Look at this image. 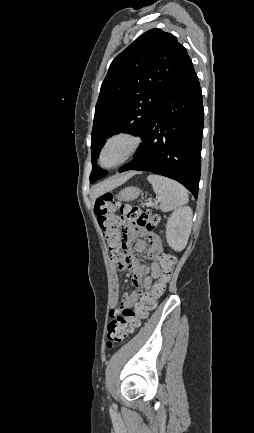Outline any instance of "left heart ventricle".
<instances>
[{"instance_id":"b2bd125f","label":"left heart ventricle","mask_w":254,"mask_h":433,"mask_svg":"<svg viewBox=\"0 0 254 433\" xmlns=\"http://www.w3.org/2000/svg\"><path fill=\"white\" fill-rule=\"evenodd\" d=\"M129 148V142L125 139L112 141L105 149L102 157V163L105 166H111L120 161Z\"/></svg>"}]
</instances>
